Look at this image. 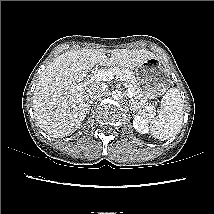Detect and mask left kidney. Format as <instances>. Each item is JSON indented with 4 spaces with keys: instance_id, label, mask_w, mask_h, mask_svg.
<instances>
[{
    "instance_id": "1",
    "label": "left kidney",
    "mask_w": 214,
    "mask_h": 214,
    "mask_svg": "<svg viewBox=\"0 0 214 214\" xmlns=\"http://www.w3.org/2000/svg\"><path fill=\"white\" fill-rule=\"evenodd\" d=\"M133 126L138 132L142 134L147 132L146 122L141 116H135V119L133 120Z\"/></svg>"
}]
</instances>
